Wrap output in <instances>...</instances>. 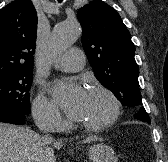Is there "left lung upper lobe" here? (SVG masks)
Instances as JSON below:
<instances>
[{
    "instance_id": "obj_1",
    "label": "left lung upper lobe",
    "mask_w": 168,
    "mask_h": 162,
    "mask_svg": "<svg viewBox=\"0 0 168 162\" xmlns=\"http://www.w3.org/2000/svg\"><path fill=\"white\" fill-rule=\"evenodd\" d=\"M77 18L83 30L82 45L97 79L123 105L140 107L135 46L120 15L105 2L94 0L78 10ZM143 112L140 108L138 115L144 117Z\"/></svg>"
}]
</instances>
